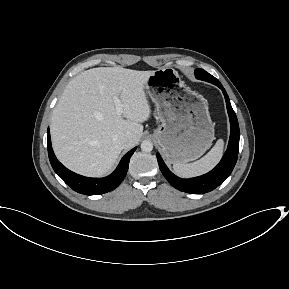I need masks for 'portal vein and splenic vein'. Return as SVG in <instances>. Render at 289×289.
<instances>
[{"instance_id": "portal-vein-and-splenic-vein-1", "label": "portal vein and splenic vein", "mask_w": 289, "mask_h": 289, "mask_svg": "<svg viewBox=\"0 0 289 289\" xmlns=\"http://www.w3.org/2000/svg\"><path fill=\"white\" fill-rule=\"evenodd\" d=\"M114 103L116 107V112L120 115L123 111L124 105L120 102L118 97H114Z\"/></svg>"}]
</instances>
